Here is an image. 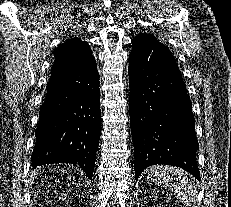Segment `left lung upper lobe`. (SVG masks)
Masks as SVG:
<instances>
[{
    "instance_id": "5c2ea615",
    "label": "left lung upper lobe",
    "mask_w": 231,
    "mask_h": 207,
    "mask_svg": "<svg viewBox=\"0 0 231 207\" xmlns=\"http://www.w3.org/2000/svg\"><path fill=\"white\" fill-rule=\"evenodd\" d=\"M135 39H155V37L147 33H140L135 37Z\"/></svg>"
}]
</instances>
